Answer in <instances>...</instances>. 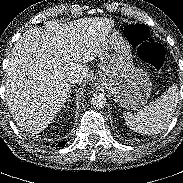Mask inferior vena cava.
<instances>
[{"mask_svg":"<svg viewBox=\"0 0 183 183\" xmlns=\"http://www.w3.org/2000/svg\"><path fill=\"white\" fill-rule=\"evenodd\" d=\"M68 81L70 83H73V84H76V83H81L82 82V79L80 77L79 74L77 73H71L69 76H68Z\"/></svg>","mask_w":183,"mask_h":183,"instance_id":"1","label":"inferior vena cava"}]
</instances>
